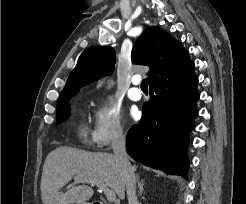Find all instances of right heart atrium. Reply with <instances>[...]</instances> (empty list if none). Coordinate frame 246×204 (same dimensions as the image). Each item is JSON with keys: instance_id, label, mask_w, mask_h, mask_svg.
I'll use <instances>...</instances> for the list:
<instances>
[{"instance_id": "1", "label": "right heart atrium", "mask_w": 246, "mask_h": 204, "mask_svg": "<svg viewBox=\"0 0 246 204\" xmlns=\"http://www.w3.org/2000/svg\"><path fill=\"white\" fill-rule=\"evenodd\" d=\"M126 129L121 111L109 97L97 99L92 112V142L99 148H107L125 137Z\"/></svg>"}]
</instances>
